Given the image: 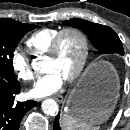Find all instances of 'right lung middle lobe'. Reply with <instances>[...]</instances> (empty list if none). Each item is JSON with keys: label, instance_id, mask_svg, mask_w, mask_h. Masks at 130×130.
<instances>
[{"label": "right lung middle lobe", "instance_id": "obj_1", "mask_svg": "<svg viewBox=\"0 0 130 130\" xmlns=\"http://www.w3.org/2000/svg\"><path fill=\"white\" fill-rule=\"evenodd\" d=\"M36 25L0 20V75L15 80L13 51L22 37Z\"/></svg>", "mask_w": 130, "mask_h": 130}]
</instances>
